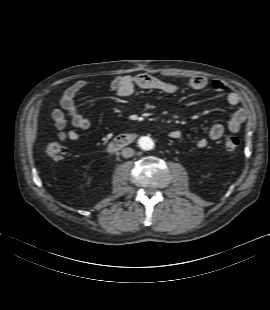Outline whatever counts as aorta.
Masks as SVG:
<instances>
[{"instance_id": "obj_1", "label": "aorta", "mask_w": 270, "mask_h": 310, "mask_svg": "<svg viewBox=\"0 0 270 310\" xmlns=\"http://www.w3.org/2000/svg\"><path fill=\"white\" fill-rule=\"evenodd\" d=\"M139 146L144 150H151L154 148V142L149 137H141L138 140Z\"/></svg>"}]
</instances>
